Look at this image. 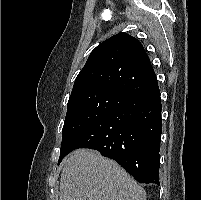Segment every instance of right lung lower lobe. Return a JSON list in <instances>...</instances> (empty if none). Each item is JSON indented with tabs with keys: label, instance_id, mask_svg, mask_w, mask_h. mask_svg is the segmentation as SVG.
<instances>
[{
	"label": "right lung lower lobe",
	"instance_id": "98d812e1",
	"mask_svg": "<svg viewBox=\"0 0 201 200\" xmlns=\"http://www.w3.org/2000/svg\"><path fill=\"white\" fill-rule=\"evenodd\" d=\"M161 98L158 84L94 121L66 146L90 148L117 161L140 183L159 185Z\"/></svg>",
	"mask_w": 201,
	"mask_h": 200
}]
</instances>
